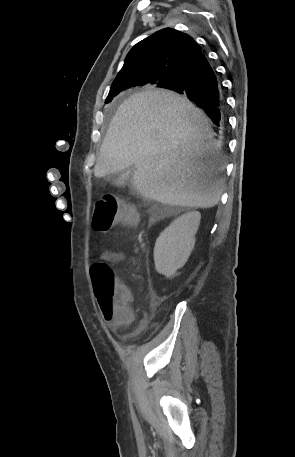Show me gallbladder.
Listing matches in <instances>:
<instances>
[{"instance_id":"gallbladder-1","label":"gallbladder","mask_w":295,"mask_h":457,"mask_svg":"<svg viewBox=\"0 0 295 457\" xmlns=\"http://www.w3.org/2000/svg\"><path fill=\"white\" fill-rule=\"evenodd\" d=\"M135 168L129 167L124 172H119L116 174H111L108 176V179L116 186L130 185L132 183V176Z\"/></svg>"}]
</instances>
